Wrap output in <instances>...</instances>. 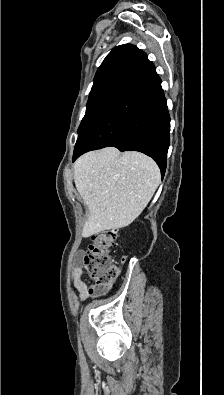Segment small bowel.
Masks as SVG:
<instances>
[{"label":"small bowel","instance_id":"obj_1","mask_svg":"<svg viewBox=\"0 0 224 395\" xmlns=\"http://www.w3.org/2000/svg\"><path fill=\"white\" fill-rule=\"evenodd\" d=\"M83 257V251L77 256V261L72 269V280L74 288L79 292V298L86 300L90 297H96L108 292L114 286V283L98 284L90 283L85 275V271L80 264Z\"/></svg>","mask_w":224,"mask_h":395}]
</instances>
